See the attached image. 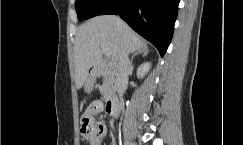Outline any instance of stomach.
Listing matches in <instances>:
<instances>
[{"instance_id": "stomach-1", "label": "stomach", "mask_w": 243, "mask_h": 145, "mask_svg": "<svg viewBox=\"0 0 243 145\" xmlns=\"http://www.w3.org/2000/svg\"><path fill=\"white\" fill-rule=\"evenodd\" d=\"M92 86V81L91 80H86V83H85V88L88 90L90 89Z\"/></svg>"}]
</instances>
